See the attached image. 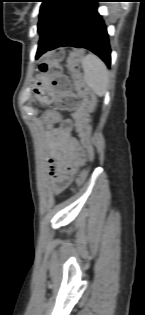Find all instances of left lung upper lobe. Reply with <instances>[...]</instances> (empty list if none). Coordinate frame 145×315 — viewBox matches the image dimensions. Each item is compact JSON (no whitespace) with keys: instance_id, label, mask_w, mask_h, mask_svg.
<instances>
[{"instance_id":"5c2ea615","label":"left lung upper lobe","mask_w":145,"mask_h":315,"mask_svg":"<svg viewBox=\"0 0 145 315\" xmlns=\"http://www.w3.org/2000/svg\"><path fill=\"white\" fill-rule=\"evenodd\" d=\"M73 0H42L38 32L41 39L47 34L55 20Z\"/></svg>"}]
</instances>
